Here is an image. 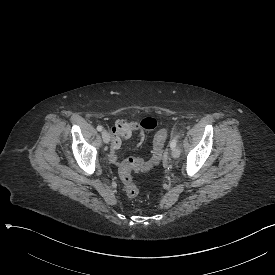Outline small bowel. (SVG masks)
<instances>
[{
	"label": "small bowel",
	"mask_w": 275,
	"mask_h": 275,
	"mask_svg": "<svg viewBox=\"0 0 275 275\" xmlns=\"http://www.w3.org/2000/svg\"><path fill=\"white\" fill-rule=\"evenodd\" d=\"M159 125V119L145 118L141 120L140 124H138L136 121L127 122L121 118H116L113 121V124L109 125L110 133L114 136L109 154L110 161L112 163H117L118 153L121 148V139L131 138L132 132H139L138 143L141 144L144 140L143 132L145 130H156Z\"/></svg>",
	"instance_id": "small-bowel-1"
}]
</instances>
